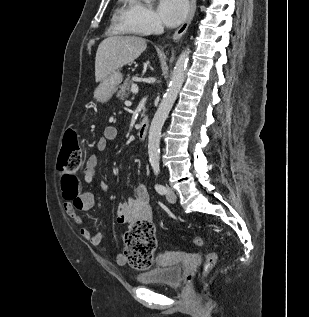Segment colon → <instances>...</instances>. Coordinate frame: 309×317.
<instances>
[{
    "label": "colon",
    "instance_id": "1",
    "mask_svg": "<svg viewBox=\"0 0 309 317\" xmlns=\"http://www.w3.org/2000/svg\"><path fill=\"white\" fill-rule=\"evenodd\" d=\"M80 164L81 151L78 135L74 130L69 129L65 132L62 149L58 158V170L63 184H66L75 175ZM193 243L196 246H201L203 241L200 237H195ZM124 244L125 254L132 269L142 271L150 268L157 246L153 223L148 220L132 222L124 235ZM217 259V252L208 253L203 265L204 276L212 270Z\"/></svg>",
    "mask_w": 309,
    "mask_h": 317
}]
</instances>
